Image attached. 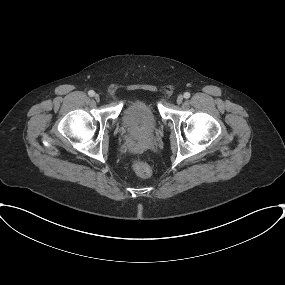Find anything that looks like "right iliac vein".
Segmentation results:
<instances>
[{"label":"right iliac vein","instance_id":"right-iliac-vein-1","mask_svg":"<svg viewBox=\"0 0 285 285\" xmlns=\"http://www.w3.org/2000/svg\"><path fill=\"white\" fill-rule=\"evenodd\" d=\"M94 99H95L97 102H99V101H100V96H99L98 94H95V95H94Z\"/></svg>","mask_w":285,"mask_h":285}]
</instances>
